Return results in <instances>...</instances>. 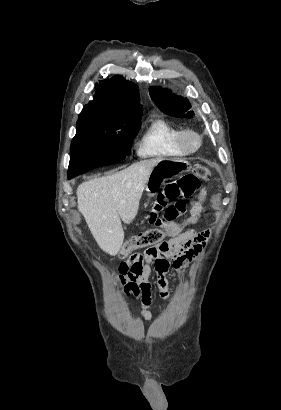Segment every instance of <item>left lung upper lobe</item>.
Instances as JSON below:
<instances>
[{
	"label": "left lung upper lobe",
	"instance_id": "obj_1",
	"mask_svg": "<svg viewBox=\"0 0 281 410\" xmlns=\"http://www.w3.org/2000/svg\"><path fill=\"white\" fill-rule=\"evenodd\" d=\"M149 94L155 104L168 115L178 118H192L194 115L193 111H189L191 106L186 98L157 87H151Z\"/></svg>",
	"mask_w": 281,
	"mask_h": 410
}]
</instances>
